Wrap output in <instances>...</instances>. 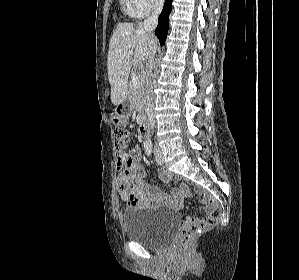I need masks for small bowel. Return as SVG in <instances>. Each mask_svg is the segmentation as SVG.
<instances>
[{
	"label": "small bowel",
	"instance_id": "1",
	"mask_svg": "<svg viewBox=\"0 0 299 280\" xmlns=\"http://www.w3.org/2000/svg\"><path fill=\"white\" fill-rule=\"evenodd\" d=\"M139 148H135L134 155L128 167L123 168L117 177V190L129 206L150 208L166 206L171 209H180L183 199L188 195L185 186L172 190L169 194L161 192L157 187L145 182V171L138 164ZM172 178L169 171L163 170L158 175V181L167 182ZM211 208H207L209 211ZM192 219L187 220L189 222Z\"/></svg>",
	"mask_w": 299,
	"mask_h": 280
}]
</instances>
